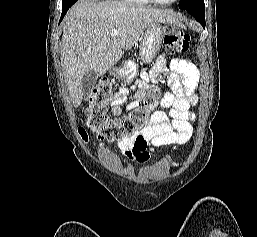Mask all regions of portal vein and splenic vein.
I'll return each instance as SVG.
<instances>
[{
  "label": "portal vein and splenic vein",
  "mask_w": 257,
  "mask_h": 237,
  "mask_svg": "<svg viewBox=\"0 0 257 237\" xmlns=\"http://www.w3.org/2000/svg\"><path fill=\"white\" fill-rule=\"evenodd\" d=\"M118 33H119V31H118L117 29H113V30L111 31V36H112V37H115V36L118 35Z\"/></svg>",
  "instance_id": "1"
}]
</instances>
